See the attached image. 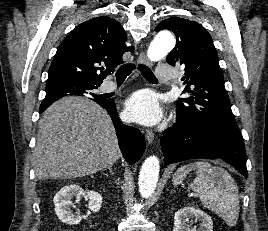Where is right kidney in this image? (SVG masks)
Here are the masks:
<instances>
[{"mask_svg": "<svg viewBox=\"0 0 268 231\" xmlns=\"http://www.w3.org/2000/svg\"><path fill=\"white\" fill-rule=\"evenodd\" d=\"M84 196L88 200V208L93 213H96L100 210L102 205V196L93 191H83L82 188L77 184H70L63 187L55 196H54V205L55 212L58 218L66 224L77 225L81 222L82 217L78 212L75 214L71 210L74 208V204L71 199L73 197Z\"/></svg>", "mask_w": 268, "mask_h": 231, "instance_id": "1", "label": "right kidney"}]
</instances>
